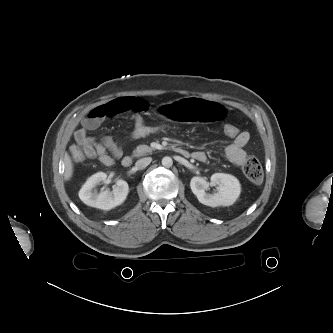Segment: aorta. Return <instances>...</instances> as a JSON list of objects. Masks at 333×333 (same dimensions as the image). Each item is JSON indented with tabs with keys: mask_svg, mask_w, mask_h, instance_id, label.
<instances>
[{
	"mask_svg": "<svg viewBox=\"0 0 333 333\" xmlns=\"http://www.w3.org/2000/svg\"><path fill=\"white\" fill-rule=\"evenodd\" d=\"M162 165H163L164 167H166V168H170V167H172V165H173V160H172V158L169 157V156H165V157H163V159H162Z\"/></svg>",
	"mask_w": 333,
	"mask_h": 333,
	"instance_id": "762f6f07",
	"label": "aorta"
}]
</instances>
